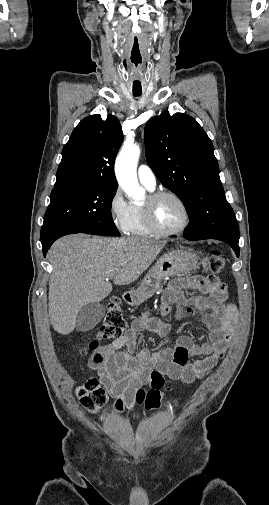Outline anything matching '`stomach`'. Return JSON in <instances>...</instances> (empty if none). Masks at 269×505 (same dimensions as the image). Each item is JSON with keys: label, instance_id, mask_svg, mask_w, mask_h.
Returning <instances> with one entry per match:
<instances>
[{"label": "stomach", "instance_id": "stomach-1", "mask_svg": "<svg viewBox=\"0 0 269 505\" xmlns=\"http://www.w3.org/2000/svg\"><path fill=\"white\" fill-rule=\"evenodd\" d=\"M198 257L187 250H175L163 255L148 271L138 290L133 294L131 304L138 305L160 289L164 279L192 272L197 268Z\"/></svg>", "mask_w": 269, "mask_h": 505}]
</instances>
